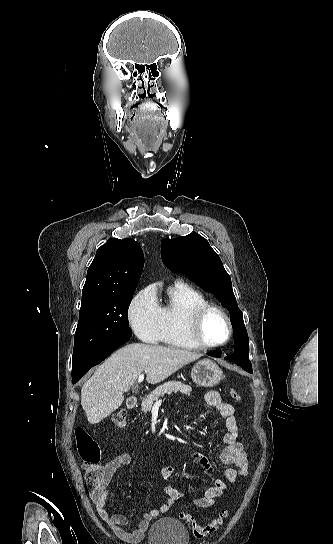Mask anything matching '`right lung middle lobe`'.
<instances>
[{"instance_id":"dd1d6c3e","label":"right lung middle lobe","mask_w":333,"mask_h":544,"mask_svg":"<svg viewBox=\"0 0 333 544\" xmlns=\"http://www.w3.org/2000/svg\"><path fill=\"white\" fill-rule=\"evenodd\" d=\"M133 293L134 291L107 294L81 304L72 367L114 338L132 335L128 323V308Z\"/></svg>"}]
</instances>
